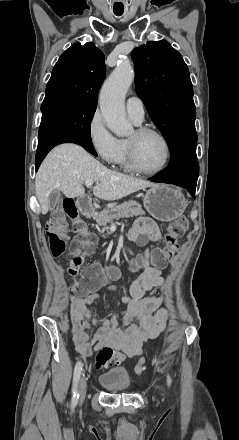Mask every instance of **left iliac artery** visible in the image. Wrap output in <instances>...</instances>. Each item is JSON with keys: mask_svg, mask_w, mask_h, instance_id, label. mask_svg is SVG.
Returning <instances> with one entry per match:
<instances>
[{"mask_svg": "<svg viewBox=\"0 0 239 440\" xmlns=\"http://www.w3.org/2000/svg\"><path fill=\"white\" fill-rule=\"evenodd\" d=\"M167 384L170 386V384H171V378H170V376L168 375L167 376Z\"/></svg>", "mask_w": 239, "mask_h": 440, "instance_id": "44dca946", "label": "left iliac artery"}]
</instances>
